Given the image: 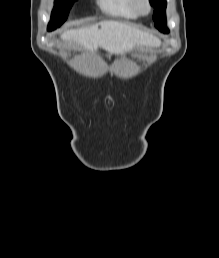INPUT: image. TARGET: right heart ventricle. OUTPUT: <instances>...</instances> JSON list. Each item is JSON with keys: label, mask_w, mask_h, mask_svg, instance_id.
Wrapping results in <instances>:
<instances>
[{"label": "right heart ventricle", "mask_w": 219, "mask_h": 258, "mask_svg": "<svg viewBox=\"0 0 219 258\" xmlns=\"http://www.w3.org/2000/svg\"><path fill=\"white\" fill-rule=\"evenodd\" d=\"M100 10L114 18L134 20L139 16L134 0H96Z\"/></svg>", "instance_id": "right-heart-ventricle-1"}]
</instances>
